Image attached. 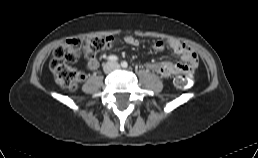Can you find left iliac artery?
<instances>
[{"instance_id":"obj_1","label":"left iliac artery","mask_w":258,"mask_h":158,"mask_svg":"<svg viewBox=\"0 0 258 158\" xmlns=\"http://www.w3.org/2000/svg\"><path fill=\"white\" fill-rule=\"evenodd\" d=\"M121 66H122L123 68H127V67H128V63H127L126 61H123V62L121 63Z\"/></svg>"}]
</instances>
